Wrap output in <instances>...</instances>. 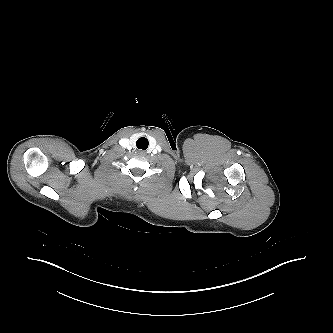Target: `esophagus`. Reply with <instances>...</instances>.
<instances>
[{"mask_svg": "<svg viewBox=\"0 0 333 333\" xmlns=\"http://www.w3.org/2000/svg\"><path fill=\"white\" fill-rule=\"evenodd\" d=\"M138 154L141 155V156H144V155L146 154V152L143 151V150H139V151H138Z\"/></svg>", "mask_w": 333, "mask_h": 333, "instance_id": "1", "label": "esophagus"}]
</instances>
